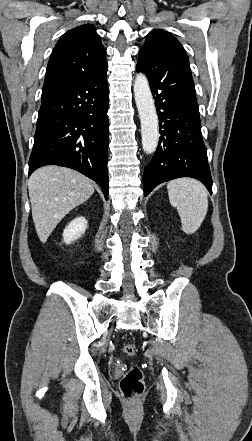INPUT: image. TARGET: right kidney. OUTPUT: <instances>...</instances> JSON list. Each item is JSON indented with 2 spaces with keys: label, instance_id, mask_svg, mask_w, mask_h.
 <instances>
[{
  "label": "right kidney",
  "instance_id": "obj_1",
  "mask_svg": "<svg viewBox=\"0 0 252 441\" xmlns=\"http://www.w3.org/2000/svg\"><path fill=\"white\" fill-rule=\"evenodd\" d=\"M88 221L83 216L73 219L63 231V241L70 244L79 239L86 231Z\"/></svg>",
  "mask_w": 252,
  "mask_h": 441
}]
</instances>
